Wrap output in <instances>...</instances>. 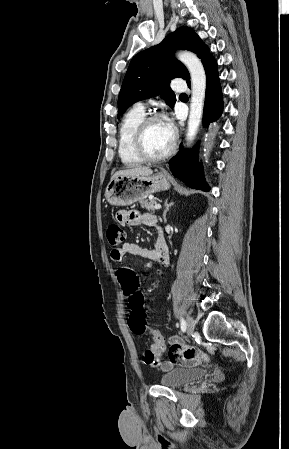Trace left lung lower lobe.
<instances>
[{
  "mask_svg": "<svg viewBox=\"0 0 289 449\" xmlns=\"http://www.w3.org/2000/svg\"><path fill=\"white\" fill-rule=\"evenodd\" d=\"M201 61L207 77L203 123L205 127H208L211 123L217 121L223 112V95L216 60L208 53ZM187 83L190 87V81ZM213 138L214 135L211 142H213ZM169 164L173 175L187 186L203 191L210 190L208 183L205 181L202 163H199L198 160L197 147L190 151L181 148Z\"/></svg>",
  "mask_w": 289,
  "mask_h": 449,
  "instance_id": "left-lung-lower-lobe-1",
  "label": "left lung lower lobe"
}]
</instances>
